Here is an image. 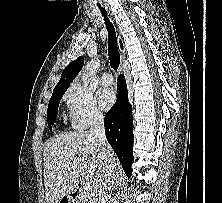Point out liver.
<instances>
[{
    "instance_id": "liver-1",
    "label": "liver",
    "mask_w": 222,
    "mask_h": 203,
    "mask_svg": "<svg viewBox=\"0 0 222 203\" xmlns=\"http://www.w3.org/2000/svg\"><path fill=\"white\" fill-rule=\"evenodd\" d=\"M116 164L114 153L111 149ZM45 203H58L74 192L80 181L95 187L105 170L97 140L84 131L67 132L44 144ZM82 168V173L79 172Z\"/></svg>"
}]
</instances>
